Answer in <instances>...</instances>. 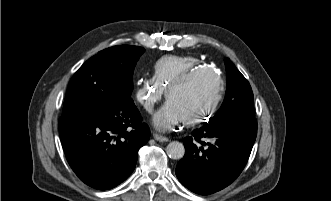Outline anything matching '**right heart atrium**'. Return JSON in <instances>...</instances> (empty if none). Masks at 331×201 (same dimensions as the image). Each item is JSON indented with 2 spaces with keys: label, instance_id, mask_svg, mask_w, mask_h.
Instances as JSON below:
<instances>
[{
  "label": "right heart atrium",
  "instance_id": "obj_1",
  "mask_svg": "<svg viewBox=\"0 0 331 201\" xmlns=\"http://www.w3.org/2000/svg\"><path fill=\"white\" fill-rule=\"evenodd\" d=\"M161 85L153 78L144 79L137 83L136 99L146 111L151 112L162 95Z\"/></svg>",
  "mask_w": 331,
  "mask_h": 201
}]
</instances>
